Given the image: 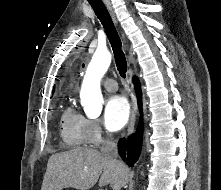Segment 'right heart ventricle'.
Listing matches in <instances>:
<instances>
[{"mask_svg": "<svg viewBox=\"0 0 221 190\" xmlns=\"http://www.w3.org/2000/svg\"><path fill=\"white\" fill-rule=\"evenodd\" d=\"M86 118L72 106H68L61 116L60 132L63 142L70 148H81L85 140Z\"/></svg>", "mask_w": 221, "mask_h": 190, "instance_id": "right-heart-ventricle-1", "label": "right heart ventricle"}]
</instances>
